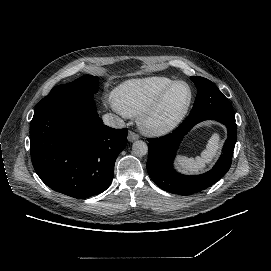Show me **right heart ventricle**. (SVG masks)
Wrapping results in <instances>:
<instances>
[{"mask_svg": "<svg viewBox=\"0 0 271 271\" xmlns=\"http://www.w3.org/2000/svg\"><path fill=\"white\" fill-rule=\"evenodd\" d=\"M174 81L168 76H150L123 83L116 90L123 114L130 117L142 115Z\"/></svg>", "mask_w": 271, "mask_h": 271, "instance_id": "right-heart-ventricle-1", "label": "right heart ventricle"}]
</instances>
